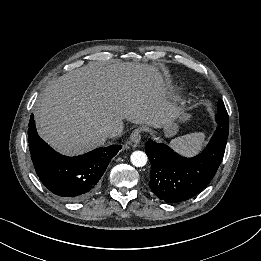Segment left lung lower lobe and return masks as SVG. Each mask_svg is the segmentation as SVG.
I'll list each match as a JSON object with an SVG mask.
<instances>
[{"label":"left lung lower lobe","mask_w":261,"mask_h":261,"mask_svg":"<svg viewBox=\"0 0 261 261\" xmlns=\"http://www.w3.org/2000/svg\"><path fill=\"white\" fill-rule=\"evenodd\" d=\"M218 127L207 147L193 158H185L165 144L148 141L145 151L151 162L149 187L166 203L191 199L214 177L225 152L229 123L216 115Z\"/></svg>","instance_id":"obj_1"}]
</instances>
